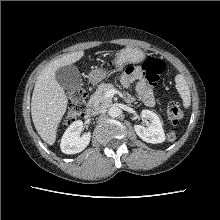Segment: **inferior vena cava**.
I'll use <instances>...</instances> for the list:
<instances>
[{"mask_svg":"<svg viewBox=\"0 0 220 220\" xmlns=\"http://www.w3.org/2000/svg\"><path fill=\"white\" fill-rule=\"evenodd\" d=\"M101 112V109L100 108H92L90 109V114L91 115H97Z\"/></svg>","mask_w":220,"mask_h":220,"instance_id":"1","label":"inferior vena cava"}]
</instances>
